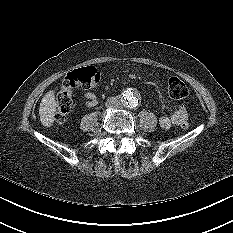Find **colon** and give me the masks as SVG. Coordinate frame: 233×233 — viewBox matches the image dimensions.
Masks as SVG:
<instances>
[{"mask_svg": "<svg viewBox=\"0 0 233 233\" xmlns=\"http://www.w3.org/2000/svg\"><path fill=\"white\" fill-rule=\"evenodd\" d=\"M102 73L94 66H87L68 73L62 83V87L56 96L57 110L55 121L63 124L73 108V91L77 88L95 87L101 80ZM167 91L171 98L181 100L188 96L189 90L186 84L178 77L171 76L167 79ZM189 122L180 124L182 130L189 128Z\"/></svg>", "mask_w": 233, "mask_h": 233, "instance_id": "obj_1", "label": "colon"}]
</instances>
